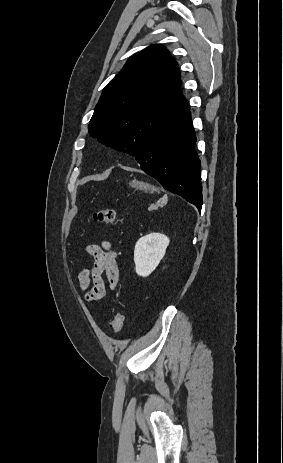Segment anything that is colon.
Returning <instances> with one entry per match:
<instances>
[{"mask_svg": "<svg viewBox=\"0 0 283 463\" xmlns=\"http://www.w3.org/2000/svg\"><path fill=\"white\" fill-rule=\"evenodd\" d=\"M94 220L100 224H112L116 218V212L113 209H99L94 212ZM125 315L122 311L116 313L113 322L112 328L114 333H120L124 327Z\"/></svg>", "mask_w": 283, "mask_h": 463, "instance_id": "1", "label": "colon"}]
</instances>
